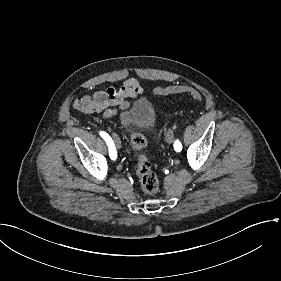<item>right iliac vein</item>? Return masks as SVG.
<instances>
[{
	"instance_id": "right-iliac-vein-1",
	"label": "right iliac vein",
	"mask_w": 281,
	"mask_h": 281,
	"mask_svg": "<svg viewBox=\"0 0 281 281\" xmlns=\"http://www.w3.org/2000/svg\"><path fill=\"white\" fill-rule=\"evenodd\" d=\"M113 137H114L115 146L117 149H119L121 147V141L116 135H114Z\"/></svg>"
}]
</instances>
